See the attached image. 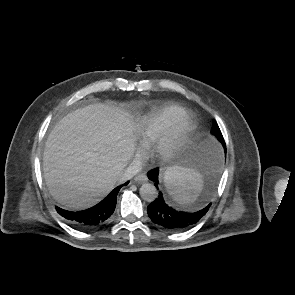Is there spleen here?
<instances>
[{"label":"spleen","mask_w":295,"mask_h":295,"mask_svg":"<svg viewBox=\"0 0 295 295\" xmlns=\"http://www.w3.org/2000/svg\"><path fill=\"white\" fill-rule=\"evenodd\" d=\"M164 180L170 195L180 204L194 202L203 187V175L190 169L170 167Z\"/></svg>","instance_id":"spleen-1"}]
</instances>
